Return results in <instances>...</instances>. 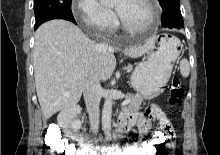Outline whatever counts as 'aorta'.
Masks as SVG:
<instances>
[{"label":"aorta","mask_w":220,"mask_h":155,"mask_svg":"<svg viewBox=\"0 0 220 155\" xmlns=\"http://www.w3.org/2000/svg\"><path fill=\"white\" fill-rule=\"evenodd\" d=\"M115 0H101L104 5L112 4ZM111 115H112V97L109 96L104 103L102 111V127L106 133L111 130Z\"/></svg>","instance_id":"762f6f07"}]
</instances>
